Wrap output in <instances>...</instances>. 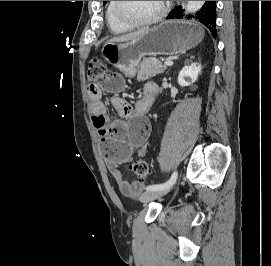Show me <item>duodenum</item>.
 <instances>
[{
    "label": "duodenum",
    "mask_w": 271,
    "mask_h": 266,
    "mask_svg": "<svg viewBox=\"0 0 271 266\" xmlns=\"http://www.w3.org/2000/svg\"><path fill=\"white\" fill-rule=\"evenodd\" d=\"M157 86V85H156ZM158 93V88L157 87H155V86H152V88L150 89V91H149V96H151V97H155L156 96V94Z\"/></svg>",
    "instance_id": "1"
}]
</instances>
